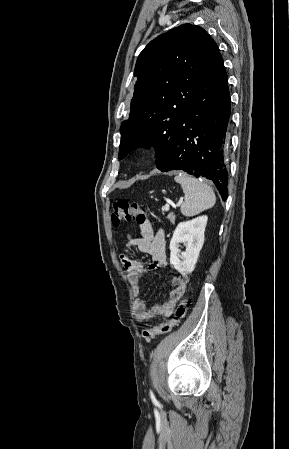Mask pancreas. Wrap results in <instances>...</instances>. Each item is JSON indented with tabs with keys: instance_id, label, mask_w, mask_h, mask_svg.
<instances>
[{
	"instance_id": "cf45deb5",
	"label": "pancreas",
	"mask_w": 289,
	"mask_h": 449,
	"mask_svg": "<svg viewBox=\"0 0 289 449\" xmlns=\"http://www.w3.org/2000/svg\"><path fill=\"white\" fill-rule=\"evenodd\" d=\"M167 218L170 220L171 223L175 222V215L173 213L168 214Z\"/></svg>"
}]
</instances>
